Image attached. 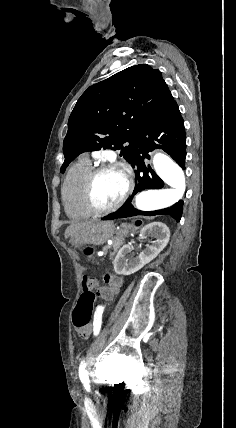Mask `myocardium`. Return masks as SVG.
I'll use <instances>...</instances> for the list:
<instances>
[{"label":"myocardium","mask_w":236,"mask_h":428,"mask_svg":"<svg viewBox=\"0 0 236 428\" xmlns=\"http://www.w3.org/2000/svg\"><path fill=\"white\" fill-rule=\"evenodd\" d=\"M112 169H120L122 170L127 177V189L122 196V198L116 202L115 204L102 206L97 203L93 194V187L96 179L104 172L112 170ZM135 188L134 183V174L132 169L123 162H107L101 163L95 167H93L87 176L84 179L82 185V198L85 206L95 214H104L116 211L120 209L132 196Z\"/></svg>","instance_id":"1"}]
</instances>
